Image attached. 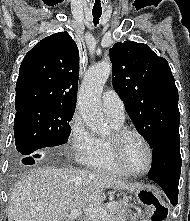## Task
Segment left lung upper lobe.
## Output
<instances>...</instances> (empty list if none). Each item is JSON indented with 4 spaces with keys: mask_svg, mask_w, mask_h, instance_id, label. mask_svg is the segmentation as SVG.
Segmentation results:
<instances>
[{
    "mask_svg": "<svg viewBox=\"0 0 190 221\" xmlns=\"http://www.w3.org/2000/svg\"><path fill=\"white\" fill-rule=\"evenodd\" d=\"M110 59L113 87L150 147L179 136L178 90L167 60L133 41L115 43Z\"/></svg>",
    "mask_w": 190,
    "mask_h": 221,
    "instance_id": "5c2ea615",
    "label": "left lung upper lobe"
}]
</instances>
